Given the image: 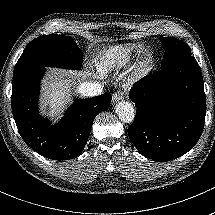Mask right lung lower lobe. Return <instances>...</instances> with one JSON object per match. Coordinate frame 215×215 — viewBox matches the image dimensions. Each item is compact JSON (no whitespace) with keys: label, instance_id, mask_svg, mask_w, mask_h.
Returning a JSON list of instances; mask_svg holds the SVG:
<instances>
[{"label":"right lung lower lobe","instance_id":"right-lung-lower-lobe-1","mask_svg":"<svg viewBox=\"0 0 215 215\" xmlns=\"http://www.w3.org/2000/svg\"><path fill=\"white\" fill-rule=\"evenodd\" d=\"M44 67L25 69L13 75L12 112L18 131L26 144L51 160H69L83 151L94 118L106 110L111 94L77 99L65 116L51 126L38 111L39 82Z\"/></svg>","mask_w":215,"mask_h":215}]
</instances>
